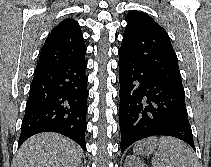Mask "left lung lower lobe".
Here are the masks:
<instances>
[{
    "mask_svg": "<svg viewBox=\"0 0 211 167\" xmlns=\"http://www.w3.org/2000/svg\"><path fill=\"white\" fill-rule=\"evenodd\" d=\"M121 151L154 135L176 137L195 145L185 92L161 80L119 49Z\"/></svg>",
    "mask_w": 211,
    "mask_h": 167,
    "instance_id": "0a47b994",
    "label": "left lung lower lobe"
}]
</instances>
